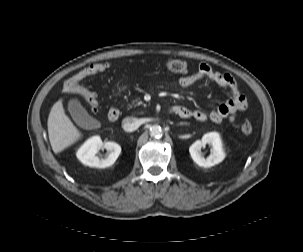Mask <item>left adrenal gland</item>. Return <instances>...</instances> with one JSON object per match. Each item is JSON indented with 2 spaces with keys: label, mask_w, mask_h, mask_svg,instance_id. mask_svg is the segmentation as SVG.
<instances>
[{
  "label": "left adrenal gland",
  "mask_w": 303,
  "mask_h": 252,
  "mask_svg": "<svg viewBox=\"0 0 303 252\" xmlns=\"http://www.w3.org/2000/svg\"><path fill=\"white\" fill-rule=\"evenodd\" d=\"M179 125H180V126H182V125H186V123H180Z\"/></svg>",
  "instance_id": "1"
}]
</instances>
